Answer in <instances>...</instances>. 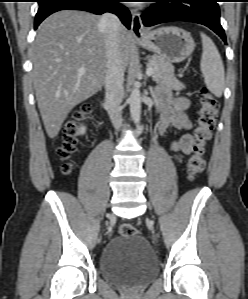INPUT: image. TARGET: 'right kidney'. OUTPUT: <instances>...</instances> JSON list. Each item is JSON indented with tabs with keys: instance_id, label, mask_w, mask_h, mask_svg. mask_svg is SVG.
Here are the masks:
<instances>
[{
	"instance_id": "1",
	"label": "right kidney",
	"mask_w": 248,
	"mask_h": 299,
	"mask_svg": "<svg viewBox=\"0 0 248 299\" xmlns=\"http://www.w3.org/2000/svg\"><path fill=\"white\" fill-rule=\"evenodd\" d=\"M86 131V127L85 126H81L79 129H78V133L80 134H84Z\"/></svg>"
}]
</instances>
